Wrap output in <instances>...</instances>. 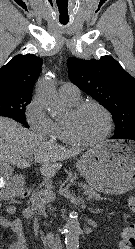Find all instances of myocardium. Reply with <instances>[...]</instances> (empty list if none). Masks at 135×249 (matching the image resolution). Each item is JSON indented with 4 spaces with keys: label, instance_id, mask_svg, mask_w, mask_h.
<instances>
[{
    "label": "myocardium",
    "instance_id": "myocardium-1",
    "mask_svg": "<svg viewBox=\"0 0 135 249\" xmlns=\"http://www.w3.org/2000/svg\"><path fill=\"white\" fill-rule=\"evenodd\" d=\"M87 107L98 108L104 114L106 118L107 127H106V131L104 132L102 136L96 139H93V140H84L75 135L70 123L64 121L66 133L68 135V138L70 139V142L78 146H95L103 142L105 139H107L112 131V126H113L112 115L110 111L99 102L90 101V100L78 102L74 106H72L70 112L72 115H77L78 113H80L82 110H84Z\"/></svg>",
    "mask_w": 135,
    "mask_h": 249
}]
</instances>
